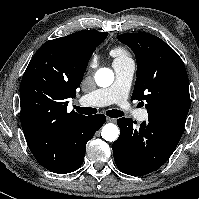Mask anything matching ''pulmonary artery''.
Returning a JSON list of instances; mask_svg holds the SVG:
<instances>
[{"label":"pulmonary artery","mask_w":199,"mask_h":199,"mask_svg":"<svg viewBox=\"0 0 199 199\" xmlns=\"http://www.w3.org/2000/svg\"><path fill=\"white\" fill-rule=\"evenodd\" d=\"M113 68L115 71L114 83L108 88L83 95L79 99L81 104L106 106L116 103L130 109L127 98L135 72V64L131 59L115 60ZM134 114L140 121H145L148 118V113L144 109L135 111Z\"/></svg>","instance_id":"1"}]
</instances>
